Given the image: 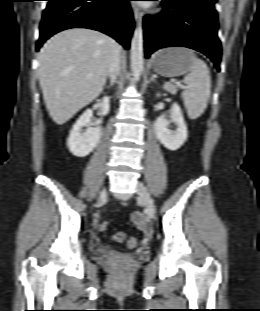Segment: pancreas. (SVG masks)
I'll return each instance as SVG.
<instances>
[{"instance_id": "1", "label": "pancreas", "mask_w": 260, "mask_h": 311, "mask_svg": "<svg viewBox=\"0 0 260 311\" xmlns=\"http://www.w3.org/2000/svg\"><path fill=\"white\" fill-rule=\"evenodd\" d=\"M164 89L174 95L178 91V86L171 83H165Z\"/></svg>"}]
</instances>
